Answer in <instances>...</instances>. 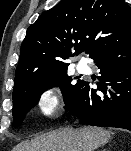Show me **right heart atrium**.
<instances>
[{"mask_svg":"<svg viewBox=\"0 0 131 151\" xmlns=\"http://www.w3.org/2000/svg\"><path fill=\"white\" fill-rule=\"evenodd\" d=\"M60 105V97L55 90L48 88L40 93L38 98V107L43 115H52L59 109Z\"/></svg>","mask_w":131,"mask_h":151,"instance_id":"1","label":"right heart atrium"}]
</instances>
